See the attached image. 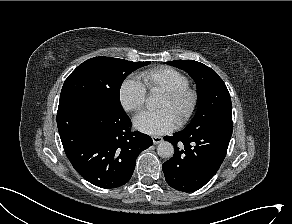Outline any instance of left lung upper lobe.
<instances>
[{
	"label": "left lung upper lobe",
	"instance_id": "1",
	"mask_svg": "<svg viewBox=\"0 0 292 224\" xmlns=\"http://www.w3.org/2000/svg\"><path fill=\"white\" fill-rule=\"evenodd\" d=\"M186 71L198 88L199 105L187 131H204L220 125H233L232 104L229 91L210 67L193 60H175L166 62Z\"/></svg>",
	"mask_w": 292,
	"mask_h": 224
}]
</instances>
